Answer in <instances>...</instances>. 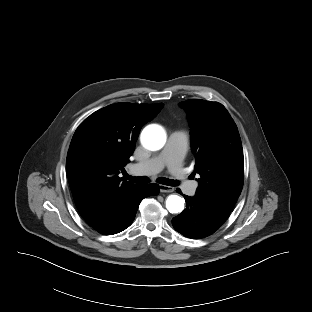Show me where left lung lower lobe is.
<instances>
[{
    "instance_id": "obj_1",
    "label": "left lung lower lobe",
    "mask_w": 312,
    "mask_h": 312,
    "mask_svg": "<svg viewBox=\"0 0 312 312\" xmlns=\"http://www.w3.org/2000/svg\"><path fill=\"white\" fill-rule=\"evenodd\" d=\"M186 209L172 219L173 227L182 235L199 239L214 233L229 217L227 213L211 203L184 195Z\"/></svg>"
}]
</instances>
